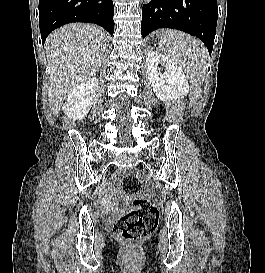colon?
<instances>
[{
  "mask_svg": "<svg viewBox=\"0 0 265 273\" xmlns=\"http://www.w3.org/2000/svg\"><path fill=\"white\" fill-rule=\"evenodd\" d=\"M122 189L132 198L133 208L114 226L115 236L127 243H137L150 237L159 224V210L148 198L140 196L142 179L137 171H128L122 178Z\"/></svg>",
  "mask_w": 265,
  "mask_h": 273,
  "instance_id": "obj_1",
  "label": "colon"
}]
</instances>
